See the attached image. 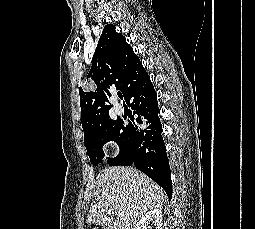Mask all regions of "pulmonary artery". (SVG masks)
I'll use <instances>...</instances> for the list:
<instances>
[{
    "label": "pulmonary artery",
    "instance_id": "1",
    "mask_svg": "<svg viewBox=\"0 0 255 229\" xmlns=\"http://www.w3.org/2000/svg\"><path fill=\"white\" fill-rule=\"evenodd\" d=\"M114 109L117 114H123V108L120 105H115Z\"/></svg>",
    "mask_w": 255,
    "mask_h": 229
}]
</instances>
